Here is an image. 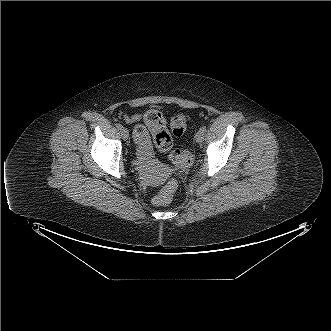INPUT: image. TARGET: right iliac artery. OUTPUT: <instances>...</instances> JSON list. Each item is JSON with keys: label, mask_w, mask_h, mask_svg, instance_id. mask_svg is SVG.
<instances>
[{"label": "right iliac artery", "mask_w": 331, "mask_h": 331, "mask_svg": "<svg viewBox=\"0 0 331 331\" xmlns=\"http://www.w3.org/2000/svg\"><path fill=\"white\" fill-rule=\"evenodd\" d=\"M116 127L118 128V129H122L123 128V126L121 125V124H116Z\"/></svg>", "instance_id": "right-iliac-artery-1"}]
</instances>
